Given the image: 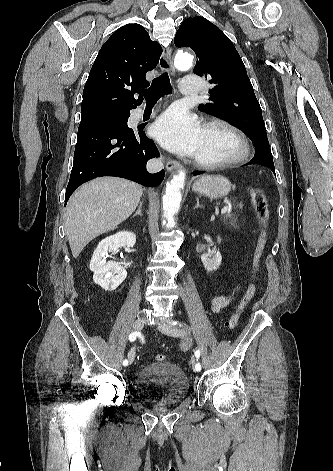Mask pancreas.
Segmentation results:
<instances>
[{
    "label": "pancreas",
    "instance_id": "cf45deb5",
    "mask_svg": "<svg viewBox=\"0 0 333 471\" xmlns=\"http://www.w3.org/2000/svg\"><path fill=\"white\" fill-rule=\"evenodd\" d=\"M225 219L226 220H230L229 224L231 226H233L234 228H237V222H238V217L236 215H233V214H228L225 216ZM224 224L228 225V222L225 221Z\"/></svg>",
    "mask_w": 333,
    "mask_h": 471
}]
</instances>
